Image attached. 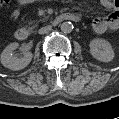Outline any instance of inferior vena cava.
<instances>
[{"label":"inferior vena cava","mask_w":119,"mask_h":119,"mask_svg":"<svg viewBox=\"0 0 119 119\" xmlns=\"http://www.w3.org/2000/svg\"><path fill=\"white\" fill-rule=\"evenodd\" d=\"M51 30H52V26L51 25H48V26H45V27L40 28L39 31H38V33L39 34H45V33L49 32Z\"/></svg>","instance_id":"inferior-vena-cava-1"}]
</instances>
